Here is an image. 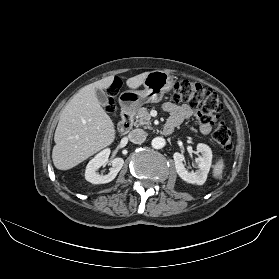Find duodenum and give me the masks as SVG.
<instances>
[{
  "label": "duodenum",
  "instance_id": "obj_1",
  "mask_svg": "<svg viewBox=\"0 0 279 279\" xmlns=\"http://www.w3.org/2000/svg\"><path fill=\"white\" fill-rule=\"evenodd\" d=\"M133 124V111L129 108L125 109L121 121L118 124V130L121 134H126L130 131ZM173 130L163 129L164 134H170Z\"/></svg>",
  "mask_w": 279,
  "mask_h": 279
}]
</instances>
